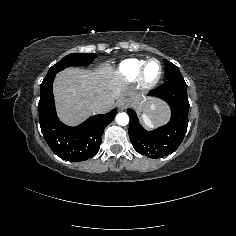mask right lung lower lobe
I'll return each mask as SVG.
<instances>
[{"instance_id": "obj_1", "label": "right lung lower lobe", "mask_w": 236, "mask_h": 236, "mask_svg": "<svg viewBox=\"0 0 236 236\" xmlns=\"http://www.w3.org/2000/svg\"><path fill=\"white\" fill-rule=\"evenodd\" d=\"M57 73H47L41 83L38 103L39 122L45 141L60 158L80 162L94 157L102 142L105 127L114 119L117 111L90 117L77 127H68L57 118L52 84Z\"/></svg>"}]
</instances>
